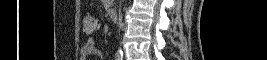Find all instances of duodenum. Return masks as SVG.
Wrapping results in <instances>:
<instances>
[{"label":"duodenum","instance_id":"duodenum-1","mask_svg":"<svg viewBox=\"0 0 267 60\" xmlns=\"http://www.w3.org/2000/svg\"><path fill=\"white\" fill-rule=\"evenodd\" d=\"M108 14L112 21L118 20V10L116 8H111Z\"/></svg>","mask_w":267,"mask_h":60}]
</instances>
